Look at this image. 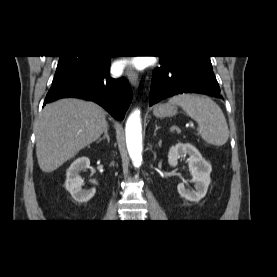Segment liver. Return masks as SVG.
<instances>
[{
	"label": "liver",
	"mask_w": 277,
	"mask_h": 277,
	"mask_svg": "<svg viewBox=\"0 0 277 277\" xmlns=\"http://www.w3.org/2000/svg\"><path fill=\"white\" fill-rule=\"evenodd\" d=\"M108 127L104 110L95 103L62 99L45 106L36 127L40 169L52 172L96 141Z\"/></svg>",
	"instance_id": "liver-1"
}]
</instances>
